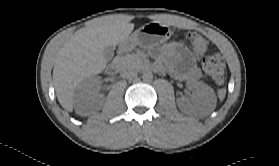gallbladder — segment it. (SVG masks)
Instances as JSON below:
<instances>
[{"mask_svg":"<svg viewBox=\"0 0 279 166\" xmlns=\"http://www.w3.org/2000/svg\"><path fill=\"white\" fill-rule=\"evenodd\" d=\"M115 47L113 45L106 46L103 50V56L107 61L112 60Z\"/></svg>","mask_w":279,"mask_h":166,"instance_id":"gallbladder-1","label":"gallbladder"}]
</instances>
